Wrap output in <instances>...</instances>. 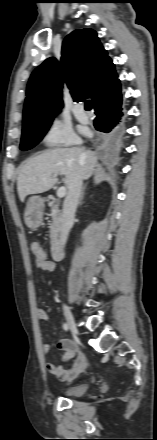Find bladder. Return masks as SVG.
I'll return each instance as SVG.
<instances>
[{
	"instance_id": "31cf9c89",
	"label": "bladder",
	"mask_w": 157,
	"mask_h": 440,
	"mask_svg": "<svg viewBox=\"0 0 157 440\" xmlns=\"http://www.w3.org/2000/svg\"><path fill=\"white\" fill-rule=\"evenodd\" d=\"M90 385L82 384L73 387H66L63 389L62 394L68 398H78L84 395L89 389Z\"/></svg>"
}]
</instances>
